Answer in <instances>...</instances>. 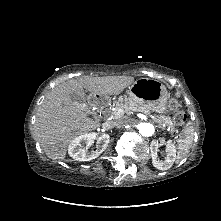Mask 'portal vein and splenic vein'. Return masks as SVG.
<instances>
[{"instance_id": "portal-vein-and-splenic-vein-1", "label": "portal vein and splenic vein", "mask_w": 221, "mask_h": 221, "mask_svg": "<svg viewBox=\"0 0 221 221\" xmlns=\"http://www.w3.org/2000/svg\"><path fill=\"white\" fill-rule=\"evenodd\" d=\"M124 113H125V111L123 109H121V108L116 109V111L113 113V117L120 118ZM150 117L156 120L155 116L150 115ZM168 130H170V128H168Z\"/></svg>"}]
</instances>
